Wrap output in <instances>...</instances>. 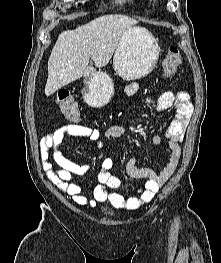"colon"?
<instances>
[{
    "instance_id": "1",
    "label": "colon",
    "mask_w": 221,
    "mask_h": 263,
    "mask_svg": "<svg viewBox=\"0 0 221 263\" xmlns=\"http://www.w3.org/2000/svg\"><path fill=\"white\" fill-rule=\"evenodd\" d=\"M182 55L178 48L170 47L164 58V73L172 76L182 63ZM57 103L66 119L76 122L80 119V109L75 100L68 94H58Z\"/></svg>"
}]
</instances>
